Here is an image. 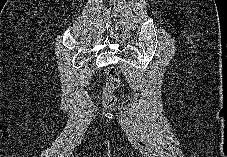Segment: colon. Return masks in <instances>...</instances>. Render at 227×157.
<instances>
[{"instance_id":"colon-1","label":"colon","mask_w":227,"mask_h":157,"mask_svg":"<svg viewBox=\"0 0 227 157\" xmlns=\"http://www.w3.org/2000/svg\"><path fill=\"white\" fill-rule=\"evenodd\" d=\"M107 75V90L108 95L105 101L106 106L111 107L115 103L114 92L118 89L120 85V74L119 71L115 67H109L106 70Z\"/></svg>"}]
</instances>
